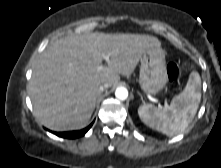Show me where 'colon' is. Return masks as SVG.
<instances>
[{"label": "colon", "mask_w": 221, "mask_h": 168, "mask_svg": "<svg viewBox=\"0 0 221 168\" xmlns=\"http://www.w3.org/2000/svg\"><path fill=\"white\" fill-rule=\"evenodd\" d=\"M166 75L169 81L173 82L178 79L180 75V68L175 63H169L166 67Z\"/></svg>", "instance_id": "1"}]
</instances>
